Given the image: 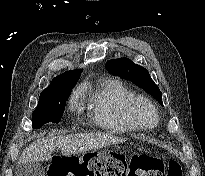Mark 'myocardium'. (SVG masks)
<instances>
[{
  "label": "myocardium",
  "instance_id": "f54148a6",
  "mask_svg": "<svg viewBox=\"0 0 205 176\" xmlns=\"http://www.w3.org/2000/svg\"><path fill=\"white\" fill-rule=\"evenodd\" d=\"M142 105L148 107L154 113L155 122L153 124L146 125L139 120L137 113ZM126 114L134 126L141 130H149L155 127L160 121V115L154 103L150 99L140 95L134 96L130 99L126 107Z\"/></svg>",
  "mask_w": 205,
  "mask_h": 176
}]
</instances>
